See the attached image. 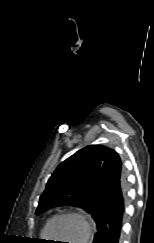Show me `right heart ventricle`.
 Masks as SVG:
<instances>
[{
  "label": "right heart ventricle",
  "mask_w": 154,
  "mask_h": 243,
  "mask_svg": "<svg viewBox=\"0 0 154 243\" xmlns=\"http://www.w3.org/2000/svg\"><path fill=\"white\" fill-rule=\"evenodd\" d=\"M44 231H45V228H44V230L42 231V235H44Z\"/></svg>",
  "instance_id": "right-heart-ventricle-1"
}]
</instances>
